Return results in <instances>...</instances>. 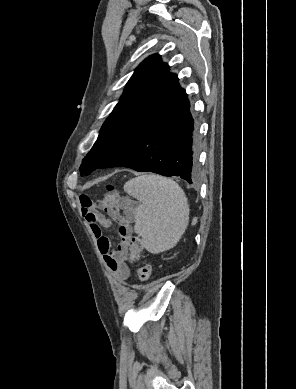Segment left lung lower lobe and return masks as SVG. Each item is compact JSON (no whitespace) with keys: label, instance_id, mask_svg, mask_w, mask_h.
<instances>
[{"label":"left lung lower lobe","instance_id":"1","mask_svg":"<svg viewBox=\"0 0 296 389\" xmlns=\"http://www.w3.org/2000/svg\"><path fill=\"white\" fill-rule=\"evenodd\" d=\"M99 168L128 167L189 183L195 178L197 124L174 74L107 128L94 146Z\"/></svg>","mask_w":296,"mask_h":389}]
</instances>
